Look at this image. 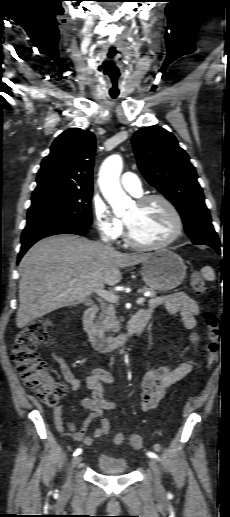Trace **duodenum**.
<instances>
[{
	"label": "duodenum",
	"instance_id": "1",
	"mask_svg": "<svg viewBox=\"0 0 230 517\" xmlns=\"http://www.w3.org/2000/svg\"><path fill=\"white\" fill-rule=\"evenodd\" d=\"M98 310L97 305H91L84 311L82 318L84 330L88 334L92 346L98 352H110L126 346L133 337L142 334L151 318V312L149 310L141 309L130 318L126 333L116 336H106L95 325V317Z\"/></svg>",
	"mask_w": 230,
	"mask_h": 517
}]
</instances>
